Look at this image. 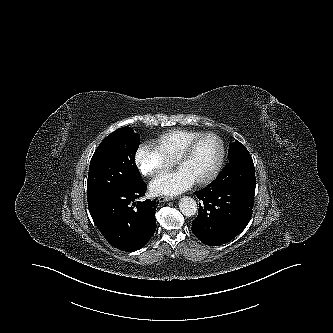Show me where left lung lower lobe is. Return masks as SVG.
Instances as JSON below:
<instances>
[{
    "mask_svg": "<svg viewBox=\"0 0 333 333\" xmlns=\"http://www.w3.org/2000/svg\"><path fill=\"white\" fill-rule=\"evenodd\" d=\"M230 168L223 170L206 188L195 192L201 200L193 234L204 244H225L239 235L250 221L254 194L237 187Z\"/></svg>",
    "mask_w": 333,
    "mask_h": 333,
    "instance_id": "0a47b994",
    "label": "left lung lower lobe"
}]
</instances>
